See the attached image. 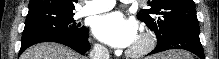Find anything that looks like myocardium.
<instances>
[{"label":"myocardium","instance_id":"obj_1","mask_svg":"<svg viewBox=\"0 0 219 59\" xmlns=\"http://www.w3.org/2000/svg\"><path fill=\"white\" fill-rule=\"evenodd\" d=\"M155 46V37L150 32H142L128 50V55L141 57L148 54Z\"/></svg>","mask_w":219,"mask_h":59}]
</instances>
